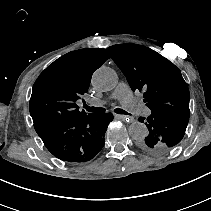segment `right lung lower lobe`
I'll use <instances>...</instances> for the list:
<instances>
[{
    "label": "right lung lower lobe",
    "mask_w": 211,
    "mask_h": 211,
    "mask_svg": "<svg viewBox=\"0 0 211 211\" xmlns=\"http://www.w3.org/2000/svg\"><path fill=\"white\" fill-rule=\"evenodd\" d=\"M112 113H90L38 133L46 148L58 159L81 163L94 158L105 142Z\"/></svg>",
    "instance_id": "right-lung-lower-lobe-1"
}]
</instances>
